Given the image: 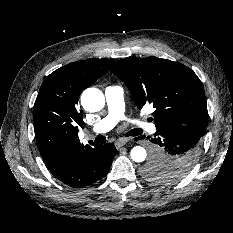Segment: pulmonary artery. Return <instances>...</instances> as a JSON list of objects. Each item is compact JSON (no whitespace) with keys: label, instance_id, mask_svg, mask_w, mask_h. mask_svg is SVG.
Listing matches in <instances>:
<instances>
[{"label":"pulmonary artery","instance_id":"e3ab8cb5","mask_svg":"<svg viewBox=\"0 0 233 233\" xmlns=\"http://www.w3.org/2000/svg\"><path fill=\"white\" fill-rule=\"evenodd\" d=\"M104 95L107 103V114L99 120L93 127V133H105L111 130L119 121L126 120L124 115V91L118 85L107 86L104 90ZM135 124L137 128L154 133L156 127L154 124H149L142 120H128Z\"/></svg>","mask_w":233,"mask_h":233}]
</instances>
